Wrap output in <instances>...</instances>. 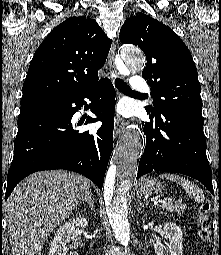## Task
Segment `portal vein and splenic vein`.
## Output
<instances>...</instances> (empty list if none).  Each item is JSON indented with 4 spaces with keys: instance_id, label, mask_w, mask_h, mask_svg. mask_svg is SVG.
<instances>
[{
    "instance_id": "obj_1",
    "label": "portal vein and splenic vein",
    "mask_w": 221,
    "mask_h": 255,
    "mask_svg": "<svg viewBox=\"0 0 221 255\" xmlns=\"http://www.w3.org/2000/svg\"><path fill=\"white\" fill-rule=\"evenodd\" d=\"M158 202L164 203L165 200H157V199L154 200V203H158Z\"/></svg>"
}]
</instances>
